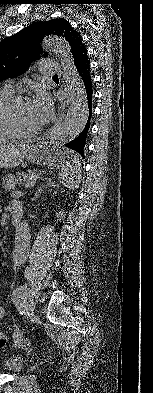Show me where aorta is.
Masks as SVG:
<instances>
[{"label": "aorta", "instance_id": "obj_1", "mask_svg": "<svg viewBox=\"0 0 153 393\" xmlns=\"http://www.w3.org/2000/svg\"><path fill=\"white\" fill-rule=\"evenodd\" d=\"M46 49H51L59 56L62 67V79L65 84L66 98L69 103V119L60 127L53 130L51 139L54 141H65L73 137L84 124L86 105L84 102V91L80 82V77L74 65L69 44L61 38L51 37L44 43ZM26 222H22L17 230L15 243L18 245L17 252L14 254L13 262L25 263L28 260L26 251L32 238L27 234Z\"/></svg>", "mask_w": 153, "mask_h": 393}]
</instances>
